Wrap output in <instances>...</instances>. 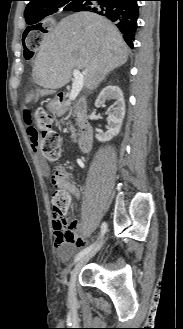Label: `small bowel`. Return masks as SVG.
Here are the masks:
<instances>
[{
	"mask_svg": "<svg viewBox=\"0 0 183 329\" xmlns=\"http://www.w3.org/2000/svg\"><path fill=\"white\" fill-rule=\"evenodd\" d=\"M26 118L28 120L30 118L28 113H26ZM33 150L35 153H37V147L34 143H33ZM56 170H58L60 174L55 178V180L59 183H62L66 188H68V190L76 198H80L81 194L79 189L69 182L70 174L67 171H65L62 167H58ZM70 223L73 225V228L71 230H67L64 228L59 218L53 216L55 246L58 249V251H59V247L64 242H72V243L76 242V244L80 247L84 245V238L78 237L76 234V231L84 233V230L80 228L79 222L76 220H71Z\"/></svg>",
	"mask_w": 183,
	"mask_h": 329,
	"instance_id": "c3829d8e",
	"label": "small bowel"
}]
</instances>
